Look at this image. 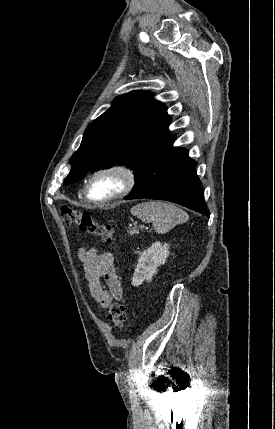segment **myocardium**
<instances>
[{
    "label": "myocardium",
    "instance_id": "1",
    "mask_svg": "<svg viewBox=\"0 0 275 429\" xmlns=\"http://www.w3.org/2000/svg\"><path fill=\"white\" fill-rule=\"evenodd\" d=\"M103 174L116 175L117 177H119L121 181V186L115 193H113L109 197H106L103 199H94L90 195L91 184L96 177ZM135 182H136L135 173L130 166L124 163L107 164L102 167H99L94 172H92V174L89 176L85 185L84 195H85V198L92 203L107 204L128 195L133 189Z\"/></svg>",
    "mask_w": 275,
    "mask_h": 429
}]
</instances>
